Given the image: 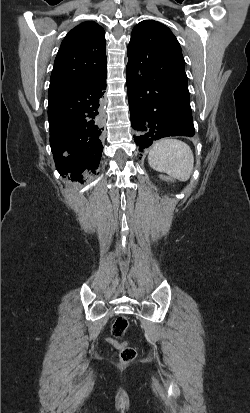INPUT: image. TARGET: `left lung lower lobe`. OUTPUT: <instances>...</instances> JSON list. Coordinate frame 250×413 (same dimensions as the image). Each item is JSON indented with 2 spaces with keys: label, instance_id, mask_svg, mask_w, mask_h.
I'll return each instance as SVG.
<instances>
[{
  "label": "left lung lower lobe",
  "instance_id": "obj_1",
  "mask_svg": "<svg viewBox=\"0 0 250 413\" xmlns=\"http://www.w3.org/2000/svg\"><path fill=\"white\" fill-rule=\"evenodd\" d=\"M151 39L128 48L126 80L139 151L167 136H194L187 76L159 64Z\"/></svg>",
  "mask_w": 250,
  "mask_h": 413
}]
</instances>
